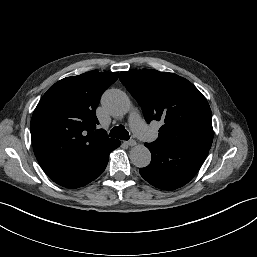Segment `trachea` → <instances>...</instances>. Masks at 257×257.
<instances>
[{
  "mask_svg": "<svg viewBox=\"0 0 257 257\" xmlns=\"http://www.w3.org/2000/svg\"><path fill=\"white\" fill-rule=\"evenodd\" d=\"M109 136L113 138H119L122 140H129L130 138L128 131L124 128L123 125H119L111 129Z\"/></svg>",
  "mask_w": 257,
  "mask_h": 257,
  "instance_id": "obj_1",
  "label": "trachea"
}]
</instances>
